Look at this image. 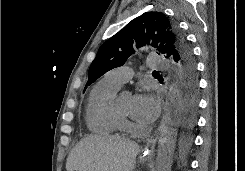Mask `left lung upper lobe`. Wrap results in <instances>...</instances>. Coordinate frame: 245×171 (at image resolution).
<instances>
[{
  "label": "left lung upper lobe",
  "mask_w": 245,
  "mask_h": 171,
  "mask_svg": "<svg viewBox=\"0 0 245 171\" xmlns=\"http://www.w3.org/2000/svg\"><path fill=\"white\" fill-rule=\"evenodd\" d=\"M149 43L160 53L171 56L174 61H194L177 24L162 12H145L99 48L90 66L86 87L109 70L122 66L135 53L134 46L139 48Z\"/></svg>",
  "instance_id": "5c2ea615"
}]
</instances>
